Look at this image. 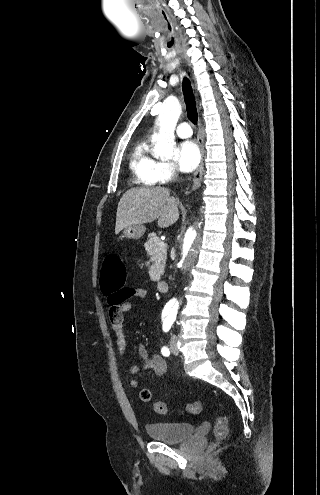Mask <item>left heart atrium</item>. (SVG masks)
I'll use <instances>...</instances> for the list:
<instances>
[{
    "instance_id": "39dd6f15",
    "label": "left heart atrium",
    "mask_w": 320,
    "mask_h": 495,
    "mask_svg": "<svg viewBox=\"0 0 320 495\" xmlns=\"http://www.w3.org/2000/svg\"><path fill=\"white\" fill-rule=\"evenodd\" d=\"M201 160L200 150L193 141H184L178 146L177 163L182 172H192Z\"/></svg>"
}]
</instances>
